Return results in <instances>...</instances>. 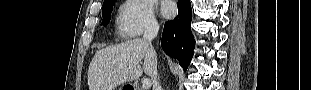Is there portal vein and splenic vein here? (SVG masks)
<instances>
[{"mask_svg": "<svg viewBox=\"0 0 311 90\" xmlns=\"http://www.w3.org/2000/svg\"><path fill=\"white\" fill-rule=\"evenodd\" d=\"M152 83L151 80L148 78H144L142 81V88L143 90H149V88L151 87Z\"/></svg>", "mask_w": 311, "mask_h": 90, "instance_id": "18ae733b", "label": "portal vein and splenic vein"}]
</instances>
